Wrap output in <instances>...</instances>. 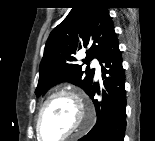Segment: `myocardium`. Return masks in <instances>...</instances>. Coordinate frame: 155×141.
Here are the masks:
<instances>
[{
  "mask_svg": "<svg viewBox=\"0 0 155 141\" xmlns=\"http://www.w3.org/2000/svg\"><path fill=\"white\" fill-rule=\"evenodd\" d=\"M57 97H67L70 100H72L73 103L78 108V115H79L78 125L72 131H70L63 137H61L59 139V141H65V140L75 136L76 134L84 131L91 125V123L93 121L92 108L86 103V101L80 95H78L77 93H75L71 90H67V89L57 90L55 92H52L50 95H48L43 100V102L41 103L40 108L38 110V113H37L35 128H36L37 136L41 140H44V138L42 137V134H41V129H40V122H41V117H42L43 111H44L45 107L47 106V104L51 100H53L54 98H57Z\"/></svg>",
  "mask_w": 155,
  "mask_h": 141,
  "instance_id": "myocardium-1",
  "label": "myocardium"
}]
</instances>
